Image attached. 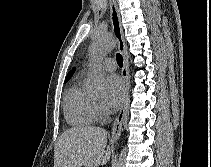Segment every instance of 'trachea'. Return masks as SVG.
<instances>
[{
    "mask_svg": "<svg viewBox=\"0 0 211 167\" xmlns=\"http://www.w3.org/2000/svg\"><path fill=\"white\" fill-rule=\"evenodd\" d=\"M116 60H117L118 65L120 67H122L123 66V57H122V55L120 53L116 54Z\"/></svg>",
    "mask_w": 211,
    "mask_h": 167,
    "instance_id": "1",
    "label": "trachea"
}]
</instances>
